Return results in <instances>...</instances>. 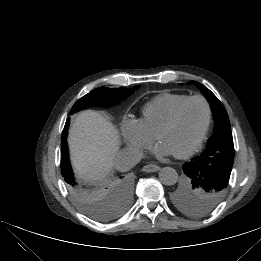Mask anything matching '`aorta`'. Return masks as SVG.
Here are the masks:
<instances>
[{
  "label": "aorta",
  "instance_id": "obj_1",
  "mask_svg": "<svg viewBox=\"0 0 261 261\" xmlns=\"http://www.w3.org/2000/svg\"><path fill=\"white\" fill-rule=\"evenodd\" d=\"M159 180L164 185H174L178 181V173L172 167H164L159 171Z\"/></svg>",
  "mask_w": 261,
  "mask_h": 261
}]
</instances>
